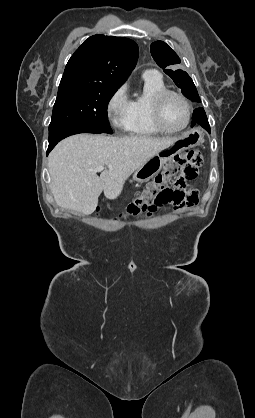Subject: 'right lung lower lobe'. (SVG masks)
Masks as SVG:
<instances>
[{"instance_id": "obj_1", "label": "right lung lower lobe", "mask_w": 255, "mask_h": 418, "mask_svg": "<svg viewBox=\"0 0 255 418\" xmlns=\"http://www.w3.org/2000/svg\"><path fill=\"white\" fill-rule=\"evenodd\" d=\"M79 133H94L100 134L103 133L100 130L84 127V126H66V127H59L49 131V146L47 150V155L49 152L54 148V146L61 141L62 139Z\"/></svg>"}]
</instances>
